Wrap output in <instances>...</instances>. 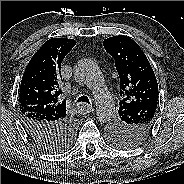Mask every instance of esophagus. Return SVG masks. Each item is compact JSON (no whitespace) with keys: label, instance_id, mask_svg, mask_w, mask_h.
Returning a JSON list of instances; mask_svg holds the SVG:
<instances>
[{"label":"esophagus","instance_id":"34e87169","mask_svg":"<svg viewBox=\"0 0 184 184\" xmlns=\"http://www.w3.org/2000/svg\"><path fill=\"white\" fill-rule=\"evenodd\" d=\"M77 108L79 109V112L82 113H90L94 110V108L91 105L88 104H77Z\"/></svg>","mask_w":184,"mask_h":184}]
</instances>
